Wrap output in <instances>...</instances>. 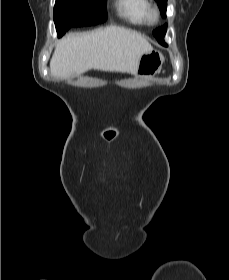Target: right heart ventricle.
<instances>
[{
    "instance_id": "obj_1",
    "label": "right heart ventricle",
    "mask_w": 229,
    "mask_h": 280,
    "mask_svg": "<svg viewBox=\"0 0 229 280\" xmlns=\"http://www.w3.org/2000/svg\"><path fill=\"white\" fill-rule=\"evenodd\" d=\"M151 5L148 0H117L118 15L132 25H145L148 23V12Z\"/></svg>"
}]
</instances>
